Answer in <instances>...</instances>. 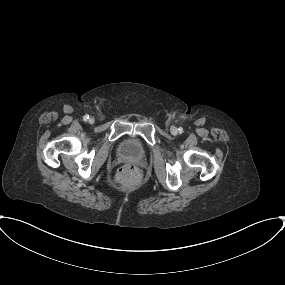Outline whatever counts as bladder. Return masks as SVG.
Masks as SVG:
<instances>
[{"mask_svg": "<svg viewBox=\"0 0 285 285\" xmlns=\"http://www.w3.org/2000/svg\"><path fill=\"white\" fill-rule=\"evenodd\" d=\"M118 152L122 157L137 159L144 155V150L138 138L125 137L119 145Z\"/></svg>", "mask_w": 285, "mask_h": 285, "instance_id": "obj_1", "label": "bladder"}]
</instances>
